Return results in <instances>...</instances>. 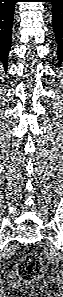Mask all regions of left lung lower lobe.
<instances>
[{"instance_id":"0a47b994","label":"left lung lower lobe","mask_w":63,"mask_h":297,"mask_svg":"<svg viewBox=\"0 0 63 297\" xmlns=\"http://www.w3.org/2000/svg\"><path fill=\"white\" fill-rule=\"evenodd\" d=\"M52 2V23L57 42L59 64L63 62V0H47Z\"/></svg>"}]
</instances>
